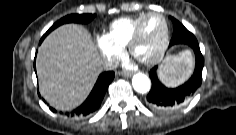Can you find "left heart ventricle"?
I'll return each mask as SVG.
<instances>
[{"mask_svg": "<svg viewBox=\"0 0 236 135\" xmlns=\"http://www.w3.org/2000/svg\"><path fill=\"white\" fill-rule=\"evenodd\" d=\"M163 36L162 20L157 16L149 17L143 25L140 40L135 47V56L139 59L151 57L161 45Z\"/></svg>", "mask_w": 236, "mask_h": 135, "instance_id": "b2bd125f", "label": "left heart ventricle"}]
</instances>
